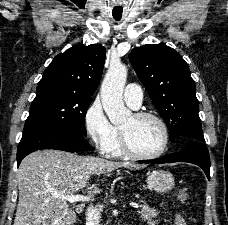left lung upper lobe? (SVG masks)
I'll list each match as a JSON object with an SVG mask.
<instances>
[{
  "label": "left lung upper lobe",
  "instance_id": "obj_1",
  "mask_svg": "<svg viewBox=\"0 0 228 225\" xmlns=\"http://www.w3.org/2000/svg\"><path fill=\"white\" fill-rule=\"evenodd\" d=\"M129 59L173 138L205 142L195 82L185 60L162 44L134 48Z\"/></svg>",
  "mask_w": 228,
  "mask_h": 225
}]
</instances>
